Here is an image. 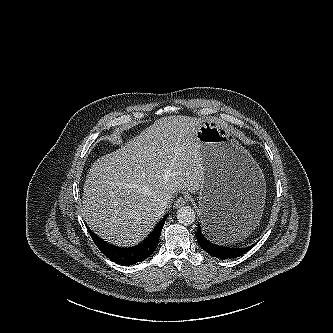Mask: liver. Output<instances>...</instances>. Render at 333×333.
Segmentation results:
<instances>
[{
  "instance_id": "6515ba94",
  "label": "liver",
  "mask_w": 333,
  "mask_h": 333,
  "mask_svg": "<svg viewBox=\"0 0 333 333\" xmlns=\"http://www.w3.org/2000/svg\"><path fill=\"white\" fill-rule=\"evenodd\" d=\"M201 123L182 115L160 118L125 146L97 159L82 196L89 228L112 244L132 246L163 217L161 200L171 202L180 190L197 192L204 178L197 139Z\"/></svg>"
}]
</instances>
